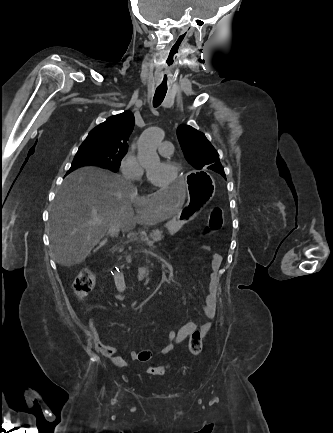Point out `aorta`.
Here are the masks:
<instances>
[{"instance_id":"aorta-1","label":"aorta","mask_w":333,"mask_h":433,"mask_svg":"<svg viewBox=\"0 0 333 433\" xmlns=\"http://www.w3.org/2000/svg\"><path fill=\"white\" fill-rule=\"evenodd\" d=\"M164 137L165 133L159 127H150L142 133L138 145V159L143 167L160 164L157 146L163 141Z\"/></svg>"}]
</instances>
